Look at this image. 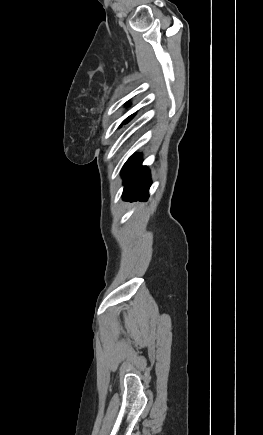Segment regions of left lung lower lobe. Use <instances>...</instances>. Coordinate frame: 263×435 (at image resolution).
<instances>
[{"instance_id":"obj_1","label":"left lung lower lobe","mask_w":263,"mask_h":435,"mask_svg":"<svg viewBox=\"0 0 263 435\" xmlns=\"http://www.w3.org/2000/svg\"><path fill=\"white\" fill-rule=\"evenodd\" d=\"M139 156L131 157L122 169L124 178L123 198L129 201L146 200L151 185L150 172L146 166H141Z\"/></svg>"}]
</instances>
